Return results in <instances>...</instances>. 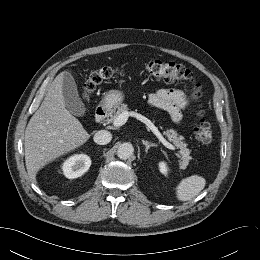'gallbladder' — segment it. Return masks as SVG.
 <instances>
[{"label":"gallbladder","instance_id":"obj_1","mask_svg":"<svg viewBox=\"0 0 260 260\" xmlns=\"http://www.w3.org/2000/svg\"><path fill=\"white\" fill-rule=\"evenodd\" d=\"M63 96L66 108L73 115L81 117L87 113V108L79 96L76 82L70 73L64 74Z\"/></svg>","mask_w":260,"mask_h":260}]
</instances>
